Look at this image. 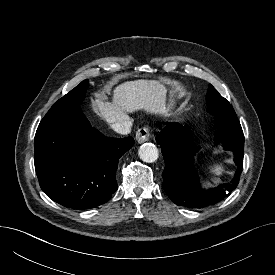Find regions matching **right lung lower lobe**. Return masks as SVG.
Instances as JSON below:
<instances>
[{"instance_id": "98d812e1", "label": "right lung lower lobe", "mask_w": 275, "mask_h": 275, "mask_svg": "<svg viewBox=\"0 0 275 275\" xmlns=\"http://www.w3.org/2000/svg\"><path fill=\"white\" fill-rule=\"evenodd\" d=\"M132 137L109 138L82 114L80 106L44 117L34 139V164L43 192L67 208L85 210L106 203L117 190L119 158Z\"/></svg>"}]
</instances>
